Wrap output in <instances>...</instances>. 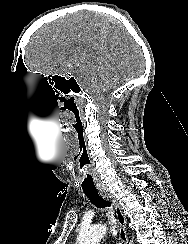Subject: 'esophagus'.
Listing matches in <instances>:
<instances>
[{"label":"esophagus","instance_id":"esophagus-1","mask_svg":"<svg viewBox=\"0 0 188 244\" xmlns=\"http://www.w3.org/2000/svg\"><path fill=\"white\" fill-rule=\"evenodd\" d=\"M100 194L104 199L110 201L114 206L118 221L120 239L122 241V244H128V236L126 231V217L123 213L122 207L120 206L119 202L116 200L114 195L110 193L108 190H101Z\"/></svg>","mask_w":188,"mask_h":244}]
</instances>
